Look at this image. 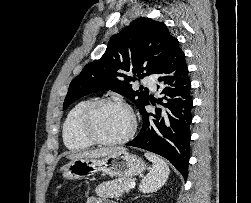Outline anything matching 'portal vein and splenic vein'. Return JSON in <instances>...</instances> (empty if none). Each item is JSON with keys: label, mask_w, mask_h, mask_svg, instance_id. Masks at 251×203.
<instances>
[{"label": "portal vein and splenic vein", "mask_w": 251, "mask_h": 203, "mask_svg": "<svg viewBox=\"0 0 251 203\" xmlns=\"http://www.w3.org/2000/svg\"><path fill=\"white\" fill-rule=\"evenodd\" d=\"M135 185L136 183L134 181H132L130 184H129V188L132 189V188H135Z\"/></svg>", "instance_id": "portal-vein-and-splenic-vein-1"}]
</instances>
